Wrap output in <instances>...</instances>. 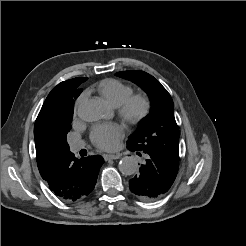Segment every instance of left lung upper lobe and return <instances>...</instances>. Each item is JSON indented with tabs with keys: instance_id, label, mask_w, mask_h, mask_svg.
Returning a JSON list of instances; mask_svg holds the SVG:
<instances>
[{
	"instance_id": "5c2ea615",
	"label": "left lung upper lobe",
	"mask_w": 246,
	"mask_h": 246,
	"mask_svg": "<svg viewBox=\"0 0 246 246\" xmlns=\"http://www.w3.org/2000/svg\"><path fill=\"white\" fill-rule=\"evenodd\" d=\"M117 76L130 80L147 92L151 111L137 130L129 136L131 151H156L179 161V129L174 117V105L167 90L146 72L122 71Z\"/></svg>"
}]
</instances>
